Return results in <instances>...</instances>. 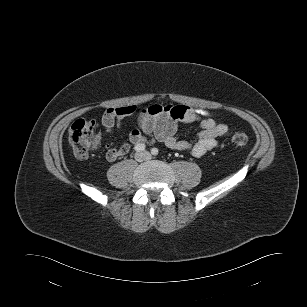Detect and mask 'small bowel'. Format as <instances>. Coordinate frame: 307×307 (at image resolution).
Returning a JSON list of instances; mask_svg holds the SVG:
<instances>
[{
    "instance_id": "obj_1",
    "label": "small bowel",
    "mask_w": 307,
    "mask_h": 307,
    "mask_svg": "<svg viewBox=\"0 0 307 307\" xmlns=\"http://www.w3.org/2000/svg\"><path fill=\"white\" fill-rule=\"evenodd\" d=\"M138 113L137 127L130 131L128 141L119 147H109L106 152L108 161L125 156L131 145L146 142H162L174 150L189 151L194 157H201L218 146V138L227 135L228 127L218 124L203 110L184 105L154 104L147 108L126 105L109 108L102 117V123L107 132L119 125L121 118ZM179 123H194L199 128V134L194 141L181 139L177 135ZM102 134H96L97 145L101 143Z\"/></svg>"
}]
</instances>
